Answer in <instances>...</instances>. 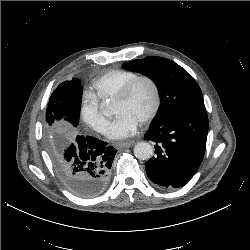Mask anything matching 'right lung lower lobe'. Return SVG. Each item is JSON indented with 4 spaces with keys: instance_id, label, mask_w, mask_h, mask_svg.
<instances>
[{
    "instance_id": "obj_1",
    "label": "right lung lower lobe",
    "mask_w": 250,
    "mask_h": 250,
    "mask_svg": "<svg viewBox=\"0 0 250 250\" xmlns=\"http://www.w3.org/2000/svg\"><path fill=\"white\" fill-rule=\"evenodd\" d=\"M116 150L92 136L77 135L63 150L57 171L71 192L91 198L104 191Z\"/></svg>"
}]
</instances>
